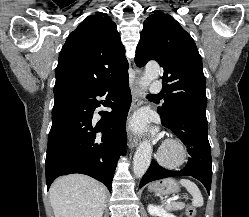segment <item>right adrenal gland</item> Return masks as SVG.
Masks as SVG:
<instances>
[{"label":"right adrenal gland","mask_w":249,"mask_h":217,"mask_svg":"<svg viewBox=\"0 0 249 217\" xmlns=\"http://www.w3.org/2000/svg\"><path fill=\"white\" fill-rule=\"evenodd\" d=\"M106 208H107V204H105V206H104V210H106Z\"/></svg>","instance_id":"right-adrenal-gland-1"}]
</instances>
